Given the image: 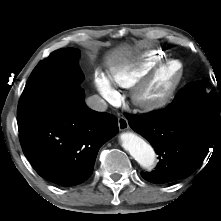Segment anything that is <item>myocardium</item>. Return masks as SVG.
Listing matches in <instances>:
<instances>
[{
	"mask_svg": "<svg viewBox=\"0 0 221 221\" xmlns=\"http://www.w3.org/2000/svg\"><path fill=\"white\" fill-rule=\"evenodd\" d=\"M176 63L180 66L179 74L171 85V87L164 93L158 96H152L149 94V88L158 76V74L168 65ZM185 76V67L182 61L178 59H168L159 63L149 74L133 86L131 99L133 104L140 110L145 112H154L162 109L168 105L179 87L181 86Z\"/></svg>",
	"mask_w": 221,
	"mask_h": 221,
	"instance_id": "1",
	"label": "myocardium"
}]
</instances>
